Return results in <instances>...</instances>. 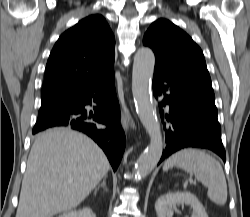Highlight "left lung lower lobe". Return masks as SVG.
<instances>
[{
  "mask_svg": "<svg viewBox=\"0 0 250 217\" xmlns=\"http://www.w3.org/2000/svg\"><path fill=\"white\" fill-rule=\"evenodd\" d=\"M153 94L159 103L166 135L160 162L178 150H212L226 161L211 80L181 77L154 69ZM167 107V109H163Z\"/></svg>",
  "mask_w": 250,
  "mask_h": 217,
  "instance_id": "left-lung-lower-lobe-1",
  "label": "left lung lower lobe"
}]
</instances>
